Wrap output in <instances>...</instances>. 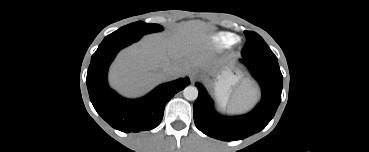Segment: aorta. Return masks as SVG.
<instances>
[{
    "label": "aorta",
    "instance_id": "1",
    "mask_svg": "<svg viewBox=\"0 0 369 152\" xmlns=\"http://www.w3.org/2000/svg\"><path fill=\"white\" fill-rule=\"evenodd\" d=\"M183 96L186 100L194 101L198 97V89L194 86H187L183 90Z\"/></svg>",
    "mask_w": 369,
    "mask_h": 152
}]
</instances>
